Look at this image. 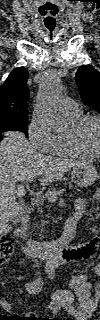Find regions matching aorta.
Returning a JSON list of instances; mask_svg holds the SVG:
<instances>
[{
    "label": "aorta",
    "mask_w": 100,
    "mask_h": 320,
    "mask_svg": "<svg viewBox=\"0 0 100 320\" xmlns=\"http://www.w3.org/2000/svg\"><path fill=\"white\" fill-rule=\"evenodd\" d=\"M62 95L60 79L48 76L40 85L35 111L38 118L51 130H60L67 125L65 117L58 108V100Z\"/></svg>",
    "instance_id": "762f6f07"
}]
</instances>
